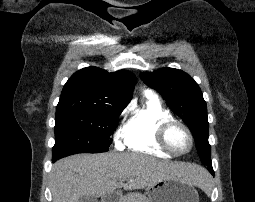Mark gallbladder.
I'll return each instance as SVG.
<instances>
[{
  "label": "gallbladder",
  "instance_id": "gallbladder-1",
  "mask_svg": "<svg viewBox=\"0 0 255 202\" xmlns=\"http://www.w3.org/2000/svg\"><path fill=\"white\" fill-rule=\"evenodd\" d=\"M78 202H96V198L94 196L86 195L82 197Z\"/></svg>",
  "mask_w": 255,
  "mask_h": 202
}]
</instances>
